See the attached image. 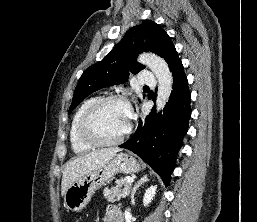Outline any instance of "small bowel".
Returning a JSON list of instances; mask_svg holds the SVG:
<instances>
[{"mask_svg": "<svg viewBox=\"0 0 257 222\" xmlns=\"http://www.w3.org/2000/svg\"><path fill=\"white\" fill-rule=\"evenodd\" d=\"M106 222H122L121 213L118 208L109 206L105 212Z\"/></svg>", "mask_w": 257, "mask_h": 222, "instance_id": "c3829d8e", "label": "small bowel"}]
</instances>
